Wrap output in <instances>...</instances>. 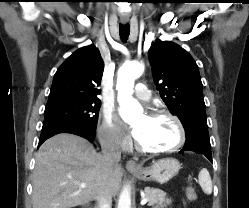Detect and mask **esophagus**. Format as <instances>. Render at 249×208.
I'll return each mask as SVG.
<instances>
[{
	"label": "esophagus",
	"instance_id": "34e87169",
	"mask_svg": "<svg viewBox=\"0 0 249 208\" xmlns=\"http://www.w3.org/2000/svg\"><path fill=\"white\" fill-rule=\"evenodd\" d=\"M121 23L122 24H127L128 23V19H121ZM126 168L128 170H132V171L140 169L139 166L137 165L136 161L133 160V159H130V160L127 161Z\"/></svg>",
	"mask_w": 249,
	"mask_h": 208
}]
</instances>
